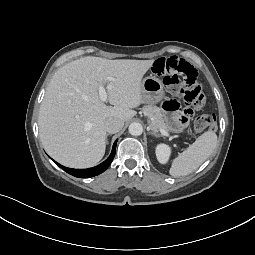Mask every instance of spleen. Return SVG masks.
<instances>
[{
    "instance_id": "3e777b00",
    "label": "spleen",
    "mask_w": 255,
    "mask_h": 255,
    "mask_svg": "<svg viewBox=\"0 0 255 255\" xmlns=\"http://www.w3.org/2000/svg\"><path fill=\"white\" fill-rule=\"evenodd\" d=\"M217 146V135L206 131L173 159L169 173L173 177L186 176L201 166Z\"/></svg>"
}]
</instances>
